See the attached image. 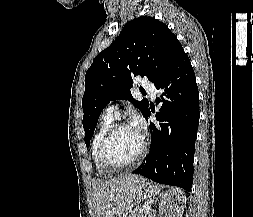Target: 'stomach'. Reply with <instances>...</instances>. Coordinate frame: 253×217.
<instances>
[{
	"label": "stomach",
	"mask_w": 253,
	"mask_h": 217,
	"mask_svg": "<svg viewBox=\"0 0 253 217\" xmlns=\"http://www.w3.org/2000/svg\"><path fill=\"white\" fill-rule=\"evenodd\" d=\"M133 193L134 201L140 203L145 200L156 199L160 195V187L153 182L144 180L137 184ZM129 214L130 211L127 210L122 217H128Z\"/></svg>",
	"instance_id": "stomach-1"
}]
</instances>
